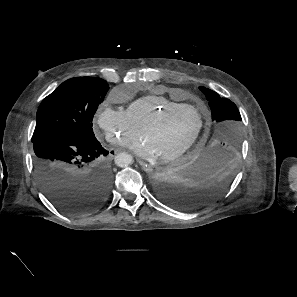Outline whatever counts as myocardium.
Instances as JSON below:
<instances>
[{
	"mask_svg": "<svg viewBox=\"0 0 297 297\" xmlns=\"http://www.w3.org/2000/svg\"><path fill=\"white\" fill-rule=\"evenodd\" d=\"M187 108L192 109L197 112V114L199 116L198 127H197L196 131L194 132V134L191 136V138L183 146H181L179 149H177L174 152H171V153L161 156L162 161H173V160L181 157L183 154H185L190 148H192L197 143V141L202 133V130L204 128V124H205L204 116L199 111V108L197 106H193L191 104H185V103L176 105V106H172V107H167V108L157 112L141 129V134L144 136L145 133L149 129L158 125L164 118H166L170 114L177 112L179 110L187 109Z\"/></svg>",
	"mask_w": 297,
	"mask_h": 297,
	"instance_id": "obj_1",
	"label": "myocardium"
}]
</instances>
